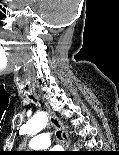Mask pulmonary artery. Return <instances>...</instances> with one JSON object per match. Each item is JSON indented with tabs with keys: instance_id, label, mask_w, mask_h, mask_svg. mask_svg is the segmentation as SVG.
I'll return each instance as SVG.
<instances>
[{
	"instance_id": "e3ab8cb5",
	"label": "pulmonary artery",
	"mask_w": 119,
	"mask_h": 155,
	"mask_svg": "<svg viewBox=\"0 0 119 155\" xmlns=\"http://www.w3.org/2000/svg\"><path fill=\"white\" fill-rule=\"evenodd\" d=\"M51 145L50 134L49 133H40L32 138L29 142V146L32 149H46Z\"/></svg>"
}]
</instances>
